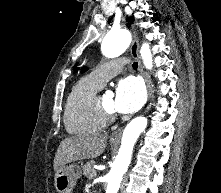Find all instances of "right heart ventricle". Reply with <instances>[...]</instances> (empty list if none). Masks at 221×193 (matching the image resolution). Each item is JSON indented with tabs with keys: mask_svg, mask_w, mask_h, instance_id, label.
<instances>
[{
	"mask_svg": "<svg viewBox=\"0 0 221 193\" xmlns=\"http://www.w3.org/2000/svg\"><path fill=\"white\" fill-rule=\"evenodd\" d=\"M101 87L90 76L80 78L72 86L64 105V124L70 134L95 133L106 126L92 103Z\"/></svg>",
	"mask_w": 221,
	"mask_h": 193,
	"instance_id": "right-heart-ventricle-1",
	"label": "right heart ventricle"
}]
</instances>
